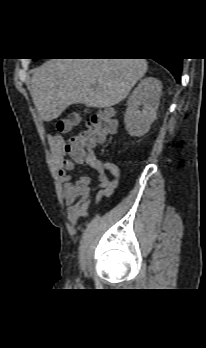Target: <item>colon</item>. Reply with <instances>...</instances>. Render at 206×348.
Wrapping results in <instances>:
<instances>
[{"label": "colon", "mask_w": 206, "mask_h": 348, "mask_svg": "<svg viewBox=\"0 0 206 348\" xmlns=\"http://www.w3.org/2000/svg\"><path fill=\"white\" fill-rule=\"evenodd\" d=\"M79 121V116L74 114L69 118L61 119L57 123L58 133L69 131ZM115 121L110 109H104L93 115L85 128L76 135L68 138L62 144L64 153L75 160H82L89 155L90 149L96 144L105 142L115 130Z\"/></svg>", "instance_id": "5ec220e1"}]
</instances>
